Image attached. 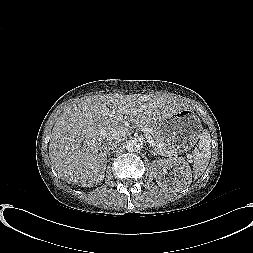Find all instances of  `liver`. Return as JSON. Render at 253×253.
I'll list each match as a JSON object with an SVG mask.
<instances>
[{
  "mask_svg": "<svg viewBox=\"0 0 253 253\" xmlns=\"http://www.w3.org/2000/svg\"><path fill=\"white\" fill-rule=\"evenodd\" d=\"M188 105L168 94H96L65 107L52 129L49 156L57 173L71 183L91 187L105 176L109 142L133 124L153 125Z\"/></svg>",
  "mask_w": 253,
  "mask_h": 253,
  "instance_id": "obj_1",
  "label": "liver"
}]
</instances>
